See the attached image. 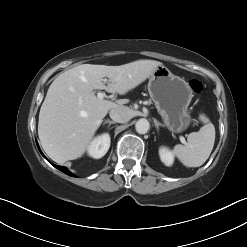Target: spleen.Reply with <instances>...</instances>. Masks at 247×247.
<instances>
[{
  "mask_svg": "<svg viewBox=\"0 0 247 247\" xmlns=\"http://www.w3.org/2000/svg\"><path fill=\"white\" fill-rule=\"evenodd\" d=\"M204 125L198 132L187 137V145L177 144L173 153L186 167H199L209 158L215 142V127L205 115H200Z\"/></svg>",
  "mask_w": 247,
  "mask_h": 247,
  "instance_id": "spleen-1",
  "label": "spleen"
}]
</instances>
